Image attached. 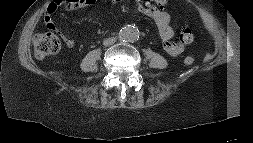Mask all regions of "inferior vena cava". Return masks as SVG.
<instances>
[{
  "mask_svg": "<svg viewBox=\"0 0 253 143\" xmlns=\"http://www.w3.org/2000/svg\"><path fill=\"white\" fill-rule=\"evenodd\" d=\"M115 41H116L115 38H107V39H105V40L103 41V44H104L105 46H110V45L114 44Z\"/></svg>",
  "mask_w": 253,
  "mask_h": 143,
  "instance_id": "1",
  "label": "inferior vena cava"
}]
</instances>
